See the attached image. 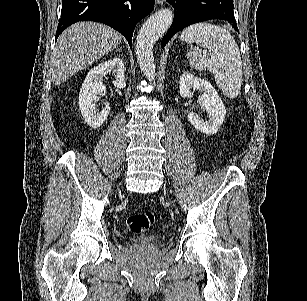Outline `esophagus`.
<instances>
[{
	"mask_svg": "<svg viewBox=\"0 0 307 301\" xmlns=\"http://www.w3.org/2000/svg\"><path fill=\"white\" fill-rule=\"evenodd\" d=\"M155 1L158 5H162V3L164 2V0H155Z\"/></svg>",
	"mask_w": 307,
	"mask_h": 301,
	"instance_id": "esophagus-1",
	"label": "esophagus"
}]
</instances>
